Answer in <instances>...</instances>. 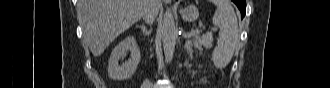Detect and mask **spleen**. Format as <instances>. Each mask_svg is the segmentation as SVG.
<instances>
[{
	"mask_svg": "<svg viewBox=\"0 0 330 88\" xmlns=\"http://www.w3.org/2000/svg\"><path fill=\"white\" fill-rule=\"evenodd\" d=\"M212 2L217 7L212 22L220 29L212 60L217 68H224L231 61L239 42L238 21L229 0H212Z\"/></svg>",
	"mask_w": 330,
	"mask_h": 88,
	"instance_id": "1",
	"label": "spleen"
}]
</instances>
